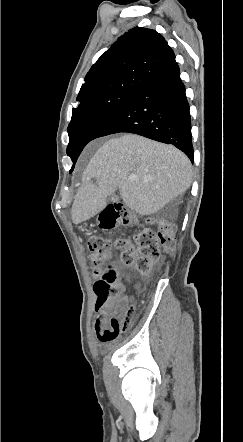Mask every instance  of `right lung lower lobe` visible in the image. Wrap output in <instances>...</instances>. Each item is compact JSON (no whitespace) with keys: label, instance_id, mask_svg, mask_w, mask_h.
Here are the masks:
<instances>
[{"label":"right lung lower lobe","instance_id":"1","mask_svg":"<svg viewBox=\"0 0 243 442\" xmlns=\"http://www.w3.org/2000/svg\"><path fill=\"white\" fill-rule=\"evenodd\" d=\"M119 132L174 145L193 162L189 103L176 61L133 90L93 139Z\"/></svg>","mask_w":243,"mask_h":442}]
</instances>
